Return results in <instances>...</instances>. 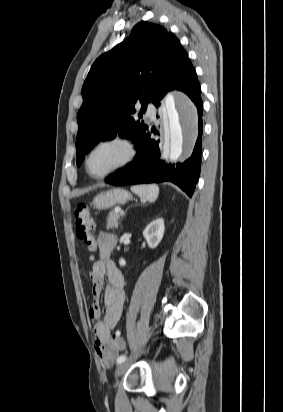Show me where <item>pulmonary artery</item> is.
<instances>
[{
	"label": "pulmonary artery",
	"mask_w": 283,
	"mask_h": 412,
	"mask_svg": "<svg viewBox=\"0 0 283 412\" xmlns=\"http://www.w3.org/2000/svg\"><path fill=\"white\" fill-rule=\"evenodd\" d=\"M147 116H148L150 119H154V118H155V111H154L153 109H148V111H147Z\"/></svg>",
	"instance_id": "1"
}]
</instances>
